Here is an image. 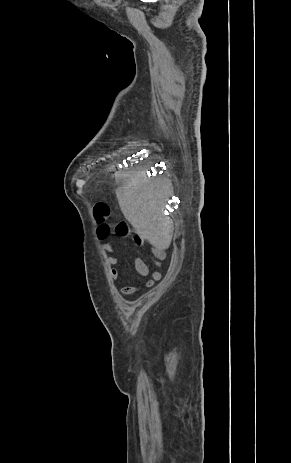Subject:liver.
<instances>
[{"label":"liver","instance_id":"liver-1","mask_svg":"<svg viewBox=\"0 0 291 463\" xmlns=\"http://www.w3.org/2000/svg\"><path fill=\"white\" fill-rule=\"evenodd\" d=\"M115 178L122 181L116 195L124 217L141 238L149 241L155 254L168 249L174 229L163 212L169 184L147 178L144 171L117 172Z\"/></svg>","mask_w":291,"mask_h":463}]
</instances>
